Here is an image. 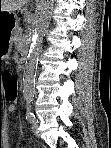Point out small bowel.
Here are the masks:
<instances>
[{
  "label": "small bowel",
  "mask_w": 111,
  "mask_h": 148,
  "mask_svg": "<svg viewBox=\"0 0 111 148\" xmlns=\"http://www.w3.org/2000/svg\"><path fill=\"white\" fill-rule=\"evenodd\" d=\"M8 111L9 112H14L15 111V106L14 105H10L9 108H8ZM5 147H8V146H5Z\"/></svg>",
  "instance_id": "1"
}]
</instances>
